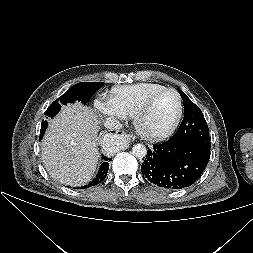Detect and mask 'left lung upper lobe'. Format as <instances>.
<instances>
[{
	"mask_svg": "<svg viewBox=\"0 0 253 253\" xmlns=\"http://www.w3.org/2000/svg\"><path fill=\"white\" fill-rule=\"evenodd\" d=\"M180 91V90H179ZM184 118L171 140L192 141L210 148L209 129L202 111L183 92Z\"/></svg>",
	"mask_w": 253,
	"mask_h": 253,
	"instance_id": "1",
	"label": "left lung upper lobe"
}]
</instances>
